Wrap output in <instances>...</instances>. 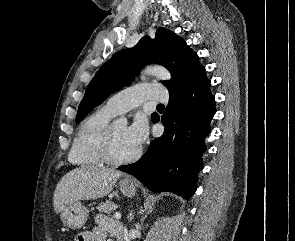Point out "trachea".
<instances>
[{
  "label": "trachea",
  "mask_w": 295,
  "mask_h": 241,
  "mask_svg": "<svg viewBox=\"0 0 295 241\" xmlns=\"http://www.w3.org/2000/svg\"><path fill=\"white\" fill-rule=\"evenodd\" d=\"M157 107L164 108V105L163 104H158Z\"/></svg>",
  "instance_id": "trachea-1"
}]
</instances>
